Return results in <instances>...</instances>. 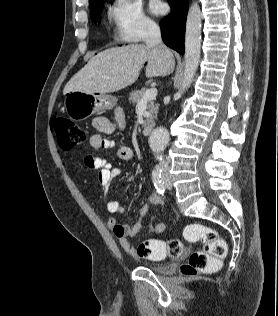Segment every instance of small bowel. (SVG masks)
<instances>
[{
    "label": "small bowel",
    "mask_w": 278,
    "mask_h": 316,
    "mask_svg": "<svg viewBox=\"0 0 278 316\" xmlns=\"http://www.w3.org/2000/svg\"><path fill=\"white\" fill-rule=\"evenodd\" d=\"M114 119L112 122L107 117L99 116L93 119L92 125L97 133L90 137L89 144L95 151L108 150L116 147V142L106 135L113 134L125 128L126 121L122 108L118 107L114 111ZM117 156L122 161H130L134 158V151L130 146L121 145L117 147ZM84 165L92 170L98 171V182L102 187L106 200L107 211L111 216L107 220V226L113 233L119 245L128 254L139 256L137 248L131 244L130 239L135 237L142 229V219L146 215L150 206L163 205V199L156 193L152 192L148 201L141 207L138 212L136 221L133 224H119L115 214L123 213L125 208L116 200L108 198V191L112 181L118 177L122 171L120 168L112 166L107 160L96 156L95 154H86L83 157ZM165 224L163 222L149 226V232L160 234L164 231Z\"/></svg>",
    "instance_id": "c3829d8e"
}]
</instances>
